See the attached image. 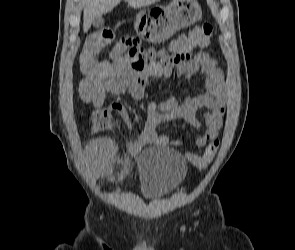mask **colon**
Wrapping results in <instances>:
<instances>
[{"mask_svg": "<svg viewBox=\"0 0 295 250\" xmlns=\"http://www.w3.org/2000/svg\"><path fill=\"white\" fill-rule=\"evenodd\" d=\"M214 34V27L211 23L205 22L193 28L184 36L181 44L183 46H207ZM114 39V32L108 27H104L92 32L86 39L80 55L81 70L88 74L98 69L99 63L96 56L108 46ZM115 111L108 108L95 109L90 116L92 129L95 132L108 130L113 126L112 114ZM219 147V141L210 142L202 155L191 154L188 159L199 169H204L214 159Z\"/></svg>", "mask_w": 295, "mask_h": 250, "instance_id": "obj_1", "label": "colon"}]
</instances>
